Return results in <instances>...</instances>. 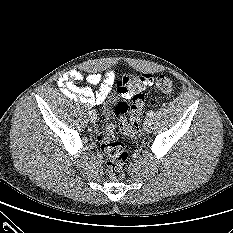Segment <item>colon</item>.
<instances>
[{
    "label": "colon",
    "mask_w": 233,
    "mask_h": 233,
    "mask_svg": "<svg viewBox=\"0 0 233 233\" xmlns=\"http://www.w3.org/2000/svg\"><path fill=\"white\" fill-rule=\"evenodd\" d=\"M155 86L165 95L172 96L175 92L173 80L165 75H159L153 79ZM143 80L134 77L128 88L132 92V103L120 101L114 106L115 114L119 118L122 133L129 137H136L139 134V126L144 106V95L141 92ZM100 149L107 158V172L112 180H119L123 177V165L127 160V152L123 144L115 139L99 136Z\"/></svg>",
    "instance_id": "colon-1"
}]
</instances>
